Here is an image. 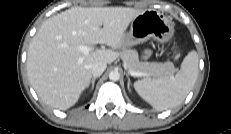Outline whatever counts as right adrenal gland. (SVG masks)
<instances>
[{
    "label": "right adrenal gland",
    "mask_w": 231,
    "mask_h": 134,
    "mask_svg": "<svg viewBox=\"0 0 231 134\" xmlns=\"http://www.w3.org/2000/svg\"><path fill=\"white\" fill-rule=\"evenodd\" d=\"M97 78H99V77H98V76H95V77L92 78V80H91V90L94 89L95 80H96Z\"/></svg>",
    "instance_id": "right-adrenal-gland-1"
}]
</instances>
